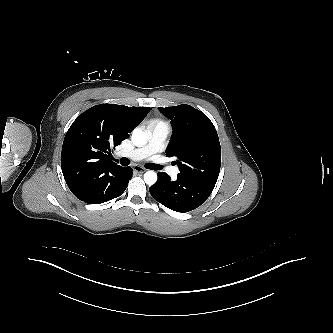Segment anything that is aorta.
Here are the masks:
<instances>
[{"mask_svg": "<svg viewBox=\"0 0 333 333\" xmlns=\"http://www.w3.org/2000/svg\"><path fill=\"white\" fill-rule=\"evenodd\" d=\"M148 136L140 129H135L132 133V142L137 147H142L147 144ZM144 181L148 185H153L157 181V174L154 171H147L144 174Z\"/></svg>", "mask_w": 333, "mask_h": 333, "instance_id": "aorta-1", "label": "aorta"}]
</instances>
